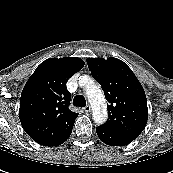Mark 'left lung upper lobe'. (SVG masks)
I'll list each match as a JSON object with an SVG mask.
<instances>
[{
	"instance_id": "1",
	"label": "left lung upper lobe",
	"mask_w": 173,
	"mask_h": 173,
	"mask_svg": "<svg viewBox=\"0 0 173 173\" xmlns=\"http://www.w3.org/2000/svg\"><path fill=\"white\" fill-rule=\"evenodd\" d=\"M92 76L101 84L109 118L101 127L117 135L136 139L148 119L144 89L132 70L117 58H88Z\"/></svg>"
}]
</instances>
